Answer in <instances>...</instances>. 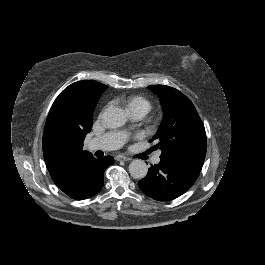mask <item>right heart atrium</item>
Listing matches in <instances>:
<instances>
[{"label":"right heart atrium","instance_id":"1","mask_svg":"<svg viewBox=\"0 0 265 265\" xmlns=\"http://www.w3.org/2000/svg\"><path fill=\"white\" fill-rule=\"evenodd\" d=\"M109 105L105 106L104 109H103V112L108 108Z\"/></svg>","mask_w":265,"mask_h":265}]
</instances>
